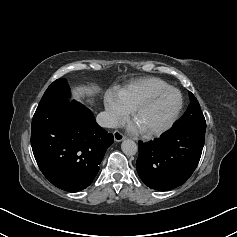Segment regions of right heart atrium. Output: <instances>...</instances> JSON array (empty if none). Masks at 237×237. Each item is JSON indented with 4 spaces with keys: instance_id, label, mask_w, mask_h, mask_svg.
Returning <instances> with one entry per match:
<instances>
[{
    "instance_id": "right-heart-atrium-1",
    "label": "right heart atrium",
    "mask_w": 237,
    "mask_h": 237,
    "mask_svg": "<svg viewBox=\"0 0 237 237\" xmlns=\"http://www.w3.org/2000/svg\"><path fill=\"white\" fill-rule=\"evenodd\" d=\"M105 109L111 126L122 123L128 116V111L112 93L105 98Z\"/></svg>"
}]
</instances>
